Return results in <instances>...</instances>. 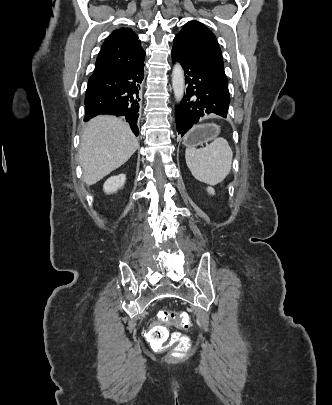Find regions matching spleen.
<instances>
[{
    "instance_id": "spleen-1",
    "label": "spleen",
    "mask_w": 332,
    "mask_h": 405,
    "mask_svg": "<svg viewBox=\"0 0 332 405\" xmlns=\"http://www.w3.org/2000/svg\"><path fill=\"white\" fill-rule=\"evenodd\" d=\"M185 159L196 180L217 185L230 173L233 152L227 140L217 137L204 148H187Z\"/></svg>"
}]
</instances>
